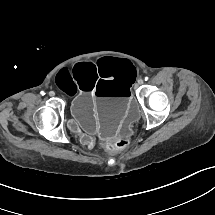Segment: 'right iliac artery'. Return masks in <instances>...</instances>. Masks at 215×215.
<instances>
[{
    "mask_svg": "<svg viewBox=\"0 0 215 215\" xmlns=\"http://www.w3.org/2000/svg\"><path fill=\"white\" fill-rule=\"evenodd\" d=\"M40 94H41L42 96H44V95H45V92H44V91H41Z\"/></svg>",
    "mask_w": 215,
    "mask_h": 215,
    "instance_id": "1",
    "label": "right iliac artery"
}]
</instances>
